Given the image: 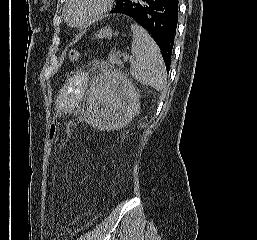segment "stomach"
<instances>
[{
	"instance_id": "1",
	"label": "stomach",
	"mask_w": 257,
	"mask_h": 240,
	"mask_svg": "<svg viewBox=\"0 0 257 240\" xmlns=\"http://www.w3.org/2000/svg\"><path fill=\"white\" fill-rule=\"evenodd\" d=\"M113 34L114 33L112 32V29L110 27H104L97 32L96 38L97 39L111 38Z\"/></svg>"
}]
</instances>
